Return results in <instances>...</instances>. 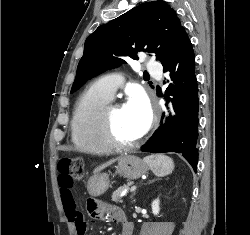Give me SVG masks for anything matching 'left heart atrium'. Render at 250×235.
I'll use <instances>...</instances> for the list:
<instances>
[{"instance_id":"1","label":"left heart atrium","mask_w":250,"mask_h":235,"mask_svg":"<svg viewBox=\"0 0 250 235\" xmlns=\"http://www.w3.org/2000/svg\"><path fill=\"white\" fill-rule=\"evenodd\" d=\"M125 107L133 115L141 135L144 134L148 130L152 119L151 107L146 96L140 92L131 94Z\"/></svg>"}]
</instances>
